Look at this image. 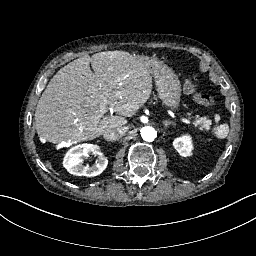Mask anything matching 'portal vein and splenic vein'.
<instances>
[{
    "label": "portal vein and splenic vein",
    "instance_id": "obj_1",
    "mask_svg": "<svg viewBox=\"0 0 256 256\" xmlns=\"http://www.w3.org/2000/svg\"><path fill=\"white\" fill-rule=\"evenodd\" d=\"M183 124L184 125H188L189 127H192L193 126V123L191 121H188L187 119H184L183 120Z\"/></svg>",
    "mask_w": 256,
    "mask_h": 256
}]
</instances>
